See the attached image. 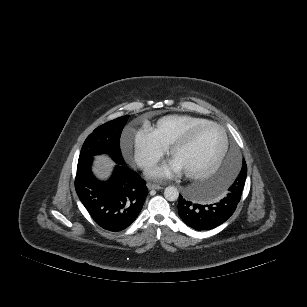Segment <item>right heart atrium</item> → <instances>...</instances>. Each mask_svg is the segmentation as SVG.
<instances>
[{
  "label": "right heart atrium",
  "mask_w": 307,
  "mask_h": 307,
  "mask_svg": "<svg viewBox=\"0 0 307 307\" xmlns=\"http://www.w3.org/2000/svg\"><path fill=\"white\" fill-rule=\"evenodd\" d=\"M121 146L124 154H128L131 147L135 161L143 168L155 164L168 150V147L155 136L149 127L133 132L127 131L123 136Z\"/></svg>",
  "instance_id": "d8ad5b80"
}]
</instances>
